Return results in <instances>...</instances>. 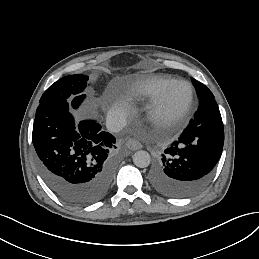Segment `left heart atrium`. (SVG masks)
Returning <instances> with one entry per match:
<instances>
[{
  "label": "left heart atrium",
  "instance_id": "left-heart-atrium-1",
  "mask_svg": "<svg viewBox=\"0 0 259 259\" xmlns=\"http://www.w3.org/2000/svg\"><path fill=\"white\" fill-rule=\"evenodd\" d=\"M166 151L172 153V154H180L183 152V149L178 146H170L166 148Z\"/></svg>",
  "mask_w": 259,
  "mask_h": 259
}]
</instances>
